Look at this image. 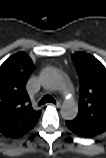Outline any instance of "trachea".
<instances>
[{
  "instance_id": "trachea-1",
  "label": "trachea",
  "mask_w": 106,
  "mask_h": 158,
  "mask_svg": "<svg viewBox=\"0 0 106 158\" xmlns=\"http://www.w3.org/2000/svg\"><path fill=\"white\" fill-rule=\"evenodd\" d=\"M46 102L56 103L55 99L50 95H45L39 102V105H42Z\"/></svg>"
}]
</instances>
